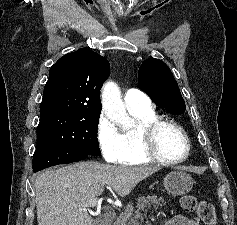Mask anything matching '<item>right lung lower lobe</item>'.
<instances>
[{
	"label": "right lung lower lobe",
	"mask_w": 237,
	"mask_h": 225,
	"mask_svg": "<svg viewBox=\"0 0 237 225\" xmlns=\"http://www.w3.org/2000/svg\"><path fill=\"white\" fill-rule=\"evenodd\" d=\"M88 154L57 146L39 145L33 156V172L58 164L84 160Z\"/></svg>",
	"instance_id": "98d812e1"
}]
</instances>
